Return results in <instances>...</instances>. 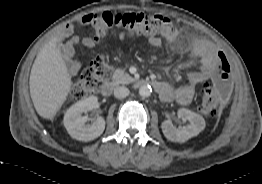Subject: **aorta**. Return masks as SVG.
I'll return each mask as SVG.
<instances>
[{
  "mask_svg": "<svg viewBox=\"0 0 262 184\" xmlns=\"http://www.w3.org/2000/svg\"><path fill=\"white\" fill-rule=\"evenodd\" d=\"M152 89L149 85H142L139 88V94L142 97H149L151 95Z\"/></svg>",
  "mask_w": 262,
  "mask_h": 184,
  "instance_id": "aorta-1",
  "label": "aorta"
}]
</instances>
